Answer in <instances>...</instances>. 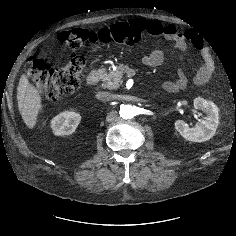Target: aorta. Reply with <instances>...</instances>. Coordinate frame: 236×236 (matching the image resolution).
<instances>
[{"label":"aorta","mask_w":236,"mask_h":236,"mask_svg":"<svg viewBox=\"0 0 236 236\" xmlns=\"http://www.w3.org/2000/svg\"><path fill=\"white\" fill-rule=\"evenodd\" d=\"M120 116L123 119H131L136 115V108L132 105H122L119 111Z\"/></svg>","instance_id":"aorta-1"}]
</instances>
